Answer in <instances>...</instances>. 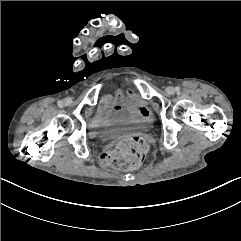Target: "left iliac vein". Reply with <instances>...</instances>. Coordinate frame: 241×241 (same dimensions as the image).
Segmentation results:
<instances>
[{"instance_id":"1","label":"left iliac vein","mask_w":241,"mask_h":241,"mask_svg":"<svg viewBox=\"0 0 241 241\" xmlns=\"http://www.w3.org/2000/svg\"><path fill=\"white\" fill-rule=\"evenodd\" d=\"M174 91H175V89H174L173 86H168V87L166 88V92H167L168 94H173Z\"/></svg>"}]
</instances>
